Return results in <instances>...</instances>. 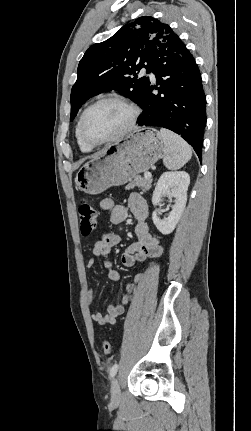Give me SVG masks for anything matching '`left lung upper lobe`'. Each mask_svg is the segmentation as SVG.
Wrapping results in <instances>:
<instances>
[{
  "label": "left lung upper lobe",
  "mask_w": 251,
  "mask_h": 431,
  "mask_svg": "<svg viewBox=\"0 0 251 431\" xmlns=\"http://www.w3.org/2000/svg\"><path fill=\"white\" fill-rule=\"evenodd\" d=\"M171 34L174 32L167 24L143 16L124 25L106 41L92 45L77 69L70 121L89 98L105 91H120L140 105L150 82L147 77L138 79L136 72L142 67L149 72L154 52Z\"/></svg>",
  "instance_id": "left-lung-upper-lobe-1"
}]
</instances>
